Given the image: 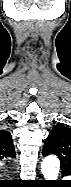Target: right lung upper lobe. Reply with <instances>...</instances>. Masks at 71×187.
<instances>
[{
	"label": "right lung upper lobe",
	"mask_w": 71,
	"mask_h": 187,
	"mask_svg": "<svg viewBox=\"0 0 71 187\" xmlns=\"http://www.w3.org/2000/svg\"><path fill=\"white\" fill-rule=\"evenodd\" d=\"M0 156L5 160L16 156L12 136L5 130L0 131Z\"/></svg>",
	"instance_id": "1"
}]
</instances>
